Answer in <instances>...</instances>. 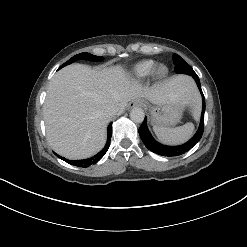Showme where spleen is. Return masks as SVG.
I'll return each mask as SVG.
<instances>
[{
    "label": "spleen",
    "mask_w": 247,
    "mask_h": 247,
    "mask_svg": "<svg viewBox=\"0 0 247 247\" xmlns=\"http://www.w3.org/2000/svg\"><path fill=\"white\" fill-rule=\"evenodd\" d=\"M158 139L165 144L177 145L186 142L194 132L193 123H186L176 128L154 126Z\"/></svg>",
    "instance_id": "1"
}]
</instances>
